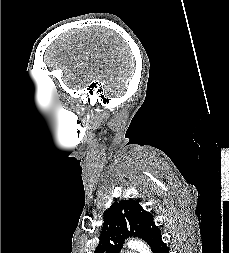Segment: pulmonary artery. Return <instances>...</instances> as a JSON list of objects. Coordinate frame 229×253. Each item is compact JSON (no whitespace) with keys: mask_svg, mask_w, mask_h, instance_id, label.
I'll return each mask as SVG.
<instances>
[{"mask_svg":"<svg viewBox=\"0 0 229 253\" xmlns=\"http://www.w3.org/2000/svg\"><path fill=\"white\" fill-rule=\"evenodd\" d=\"M127 253H135V252H127Z\"/></svg>","mask_w":229,"mask_h":253,"instance_id":"1","label":"pulmonary artery"}]
</instances>
